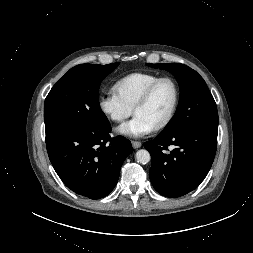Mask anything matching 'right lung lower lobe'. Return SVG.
I'll list each match as a JSON object with an SVG mask.
<instances>
[{"label":"right lung lower lobe","mask_w":253,"mask_h":253,"mask_svg":"<svg viewBox=\"0 0 253 253\" xmlns=\"http://www.w3.org/2000/svg\"><path fill=\"white\" fill-rule=\"evenodd\" d=\"M110 132L107 120L46 133L49 159L63 183L76 194L100 199L117 184L121 165L133 149L129 140L111 138Z\"/></svg>","instance_id":"98d812e1"}]
</instances>
